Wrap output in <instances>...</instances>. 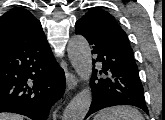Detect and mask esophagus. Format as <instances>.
<instances>
[{"instance_id": "obj_1", "label": "esophagus", "mask_w": 165, "mask_h": 120, "mask_svg": "<svg viewBox=\"0 0 165 120\" xmlns=\"http://www.w3.org/2000/svg\"><path fill=\"white\" fill-rule=\"evenodd\" d=\"M66 81L68 89L71 90L77 85L78 79L73 73H67Z\"/></svg>"}]
</instances>
